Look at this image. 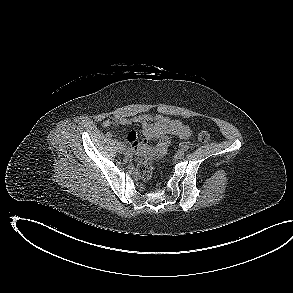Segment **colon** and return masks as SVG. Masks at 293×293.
Here are the masks:
<instances>
[{
  "label": "colon",
  "instance_id": "colon-1",
  "mask_svg": "<svg viewBox=\"0 0 293 293\" xmlns=\"http://www.w3.org/2000/svg\"><path fill=\"white\" fill-rule=\"evenodd\" d=\"M171 137H172V135H170L168 133L164 134L161 137V139L156 147V154L158 156H163L168 152V150L171 147V143H172ZM197 138L200 142L206 143L209 141L210 135L206 131H201L198 133ZM137 173H138L139 177L144 180L151 178V176L153 174V166H152L151 161L149 159L142 160L137 167Z\"/></svg>",
  "mask_w": 293,
  "mask_h": 293
}]
</instances>
